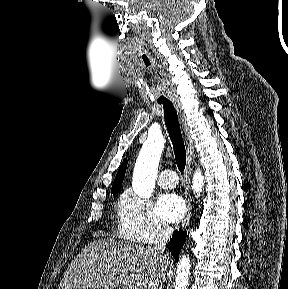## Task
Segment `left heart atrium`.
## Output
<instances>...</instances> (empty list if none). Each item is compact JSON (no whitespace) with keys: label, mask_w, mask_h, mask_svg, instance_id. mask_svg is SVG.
Returning <instances> with one entry per match:
<instances>
[{"label":"left heart atrium","mask_w":288,"mask_h":289,"mask_svg":"<svg viewBox=\"0 0 288 289\" xmlns=\"http://www.w3.org/2000/svg\"><path fill=\"white\" fill-rule=\"evenodd\" d=\"M157 211L163 220L174 223L183 217L186 211V205L182 197L178 194L166 193L159 198Z\"/></svg>","instance_id":"1"}]
</instances>
